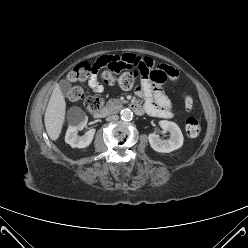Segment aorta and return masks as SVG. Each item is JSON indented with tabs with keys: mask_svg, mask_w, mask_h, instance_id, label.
Instances as JSON below:
<instances>
[{
	"mask_svg": "<svg viewBox=\"0 0 248 248\" xmlns=\"http://www.w3.org/2000/svg\"><path fill=\"white\" fill-rule=\"evenodd\" d=\"M121 119L124 121H130L133 118V112L130 109H123L121 110Z\"/></svg>",
	"mask_w": 248,
	"mask_h": 248,
	"instance_id": "aorta-1",
	"label": "aorta"
}]
</instances>
